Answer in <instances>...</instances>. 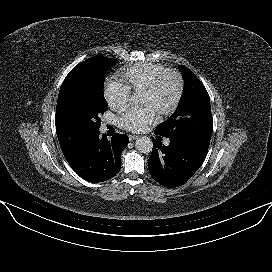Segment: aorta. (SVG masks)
<instances>
[{
    "label": "aorta",
    "mask_w": 272,
    "mask_h": 272,
    "mask_svg": "<svg viewBox=\"0 0 272 272\" xmlns=\"http://www.w3.org/2000/svg\"><path fill=\"white\" fill-rule=\"evenodd\" d=\"M135 147L141 153L148 154L152 151L153 148L152 139L147 136H141L136 139Z\"/></svg>",
    "instance_id": "obj_1"
}]
</instances>
